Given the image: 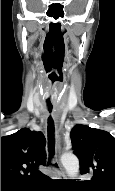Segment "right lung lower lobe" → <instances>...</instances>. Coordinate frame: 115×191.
<instances>
[{
    "label": "right lung lower lobe",
    "mask_w": 115,
    "mask_h": 191,
    "mask_svg": "<svg viewBox=\"0 0 115 191\" xmlns=\"http://www.w3.org/2000/svg\"><path fill=\"white\" fill-rule=\"evenodd\" d=\"M14 189V188H13ZM13 191H20V189H16V190H13Z\"/></svg>",
    "instance_id": "obj_1"
}]
</instances>
